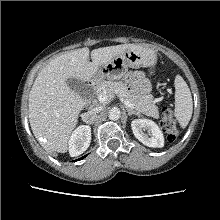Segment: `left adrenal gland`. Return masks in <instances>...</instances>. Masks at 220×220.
Masks as SVG:
<instances>
[{
	"label": "left adrenal gland",
	"mask_w": 220,
	"mask_h": 220,
	"mask_svg": "<svg viewBox=\"0 0 220 220\" xmlns=\"http://www.w3.org/2000/svg\"><path fill=\"white\" fill-rule=\"evenodd\" d=\"M126 110H127V112H128L129 115H132V114H134V115H139L138 112H136V111H134V110H132V109H130V108H126Z\"/></svg>",
	"instance_id": "obj_1"
}]
</instances>
